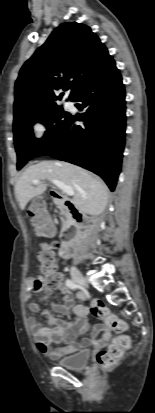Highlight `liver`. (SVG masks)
<instances>
[{"label": "liver", "mask_w": 155, "mask_h": 413, "mask_svg": "<svg viewBox=\"0 0 155 413\" xmlns=\"http://www.w3.org/2000/svg\"><path fill=\"white\" fill-rule=\"evenodd\" d=\"M38 179L37 184L33 180ZM57 179L74 190L73 203L83 214L100 215L108 204L106 184L87 170L68 162L42 161L28 167L15 185V195L21 210L35 196L44 193L46 180Z\"/></svg>", "instance_id": "obj_1"}]
</instances>
